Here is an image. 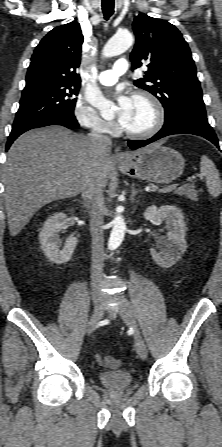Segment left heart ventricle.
Wrapping results in <instances>:
<instances>
[{
	"instance_id": "b2bd125f",
	"label": "left heart ventricle",
	"mask_w": 222,
	"mask_h": 447,
	"mask_svg": "<svg viewBox=\"0 0 222 447\" xmlns=\"http://www.w3.org/2000/svg\"><path fill=\"white\" fill-rule=\"evenodd\" d=\"M154 118V111L146 101L133 99L131 111L124 127L131 131H142L153 124Z\"/></svg>"
}]
</instances>
